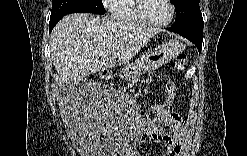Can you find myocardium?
Instances as JSON below:
<instances>
[{"label": "myocardium", "instance_id": "myocardium-1", "mask_svg": "<svg viewBox=\"0 0 247 156\" xmlns=\"http://www.w3.org/2000/svg\"><path fill=\"white\" fill-rule=\"evenodd\" d=\"M164 1L168 5L170 13H169L168 18L163 20V21H154V20H151L145 16L143 14V11H142V4L144 3V1H142V0H137L134 2V12L141 23H144V24L151 26V27L166 26L172 22L174 15H175V8H174V5L172 4V2L170 0H164Z\"/></svg>", "mask_w": 247, "mask_h": 156}]
</instances>
